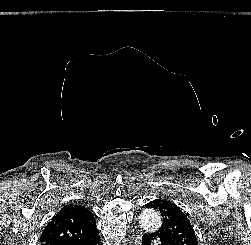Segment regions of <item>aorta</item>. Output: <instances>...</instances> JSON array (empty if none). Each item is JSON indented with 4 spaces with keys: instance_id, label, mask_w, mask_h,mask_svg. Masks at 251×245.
<instances>
[{
    "instance_id": "obj_1",
    "label": "aorta",
    "mask_w": 251,
    "mask_h": 245,
    "mask_svg": "<svg viewBox=\"0 0 251 245\" xmlns=\"http://www.w3.org/2000/svg\"><path fill=\"white\" fill-rule=\"evenodd\" d=\"M139 222L145 230L156 231L162 224V218L157 211L145 210L140 215Z\"/></svg>"
}]
</instances>
